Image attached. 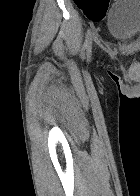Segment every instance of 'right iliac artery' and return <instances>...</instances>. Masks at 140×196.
I'll return each instance as SVG.
<instances>
[{"label": "right iliac artery", "mask_w": 140, "mask_h": 196, "mask_svg": "<svg viewBox=\"0 0 140 196\" xmlns=\"http://www.w3.org/2000/svg\"><path fill=\"white\" fill-rule=\"evenodd\" d=\"M92 31L89 29L87 31V34H86V40H85V43H84V46L86 47L87 49V53H88V56L90 55L91 53V44H92Z\"/></svg>", "instance_id": "1"}]
</instances>
